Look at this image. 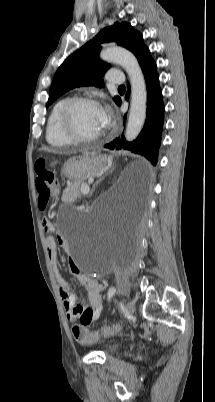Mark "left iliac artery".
<instances>
[{
    "label": "left iliac artery",
    "mask_w": 215,
    "mask_h": 402,
    "mask_svg": "<svg viewBox=\"0 0 215 402\" xmlns=\"http://www.w3.org/2000/svg\"><path fill=\"white\" fill-rule=\"evenodd\" d=\"M116 293V288L115 287H110L107 293L108 300H110Z\"/></svg>",
    "instance_id": "44dca946"
}]
</instances>
